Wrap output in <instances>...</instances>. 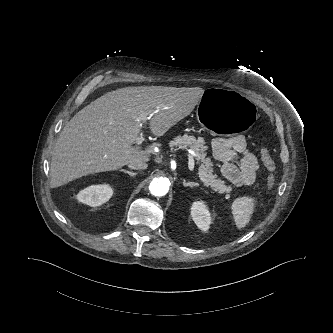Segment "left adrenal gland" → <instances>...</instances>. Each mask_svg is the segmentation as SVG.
Returning <instances> with one entry per match:
<instances>
[{
  "label": "left adrenal gland",
  "mask_w": 333,
  "mask_h": 333,
  "mask_svg": "<svg viewBox=\"0 0 333 333\" xmlns=\"http://www.w3.org/2000/svg\"><path fill=\"white\" fill-rule=\"evenodd\" d=\"M183 186H185V187H198L199 186V184L198 183H195V182H186L185 180H183Z\"/></svg>",
  "instance_id": "a2214340"
}]
</instances>
